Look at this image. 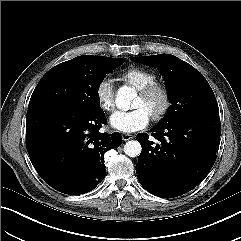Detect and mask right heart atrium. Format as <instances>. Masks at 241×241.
Here are the masks:
<instances>
[{
  "mask_svg": "<svg viewBox=\"0 0 241 241\" xmlns=\"http://www.w3.org/2000/svg\"><path fill=\"white\" fill-rule=\"evenodd\" d=\"M95 96L102 110L106 112H112L114 110V89L110 78L105 77L99 81L95 89Z\"/></svg>",
  "mask_w": 241,
  "mask_h": 241,
  "instance_id": "right-heart-atrium-1",
  "label": "right heart atrium"
}]
</instances>
